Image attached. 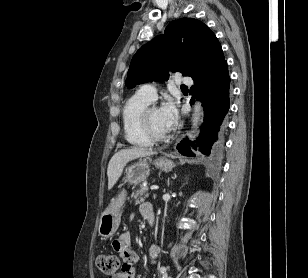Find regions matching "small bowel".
Returning <instances> with one entry per match:
<instances>
[{"label": "small bowel", "instance_id": "1", "mask_svg": "<svg viewBox=\"0 0 308 278\" xmlns=\"http://www.w3.org/2000/svg\"><path fill=\"white\" fill-rule=\"evenodd\" d=\"M140 213L143 217L154 216V209L151 204L144 203L140 207ZM113 250L123 259L121 271L112 275L110 278H136L135 263L139 257L132 249L131 234L124 232L118 239L113 241ZM160 253L158 244H153L149 249V255L152 262H155Z\"/></svg>", "mask_w": 308, "mask_h": 278}]
</instances>
